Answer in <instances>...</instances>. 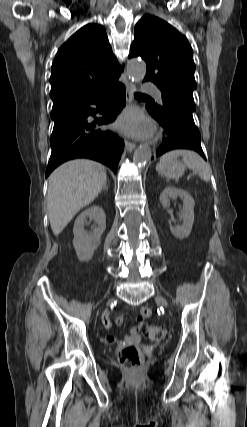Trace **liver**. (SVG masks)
Segmentation results:
<instances>
[{"label":"liver","instance_id":"1","mask_svg":"<svg viewBox=\"0 0 247 427\" xmlns=\"http://www.w3.org/2000/svg\"><path fill=\"white\" fill-rule=\"evenodd\" d=\"M106 180V168L87 159L66 162L51 173L47 210L55 236L82 208L95 200Z\"/></svg>","mask_w":247,"mask_h":427}]
</instances>
